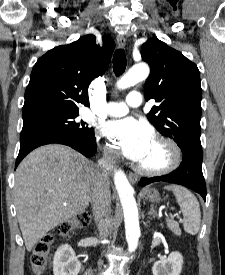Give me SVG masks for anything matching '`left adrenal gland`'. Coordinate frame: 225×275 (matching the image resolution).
I'll return each mask as SVG.
<instances>
[{"instance_id":"obj_1","label":"left adrenal gland","mask_w":225,"mask_h":275,"mask_svg":"<svg viewBox=\"0 0 225 275\" xmlns=\"http://www.w3.org/2000/svg\"><path fill=\"white\" fill-rule=\"evenodd\" d=\"M148 214H149L150 216H152L153 218H155V216H157V213L155 212L153 206H151V209H150V211H149Z\"/></svg>"}]
</instances>
